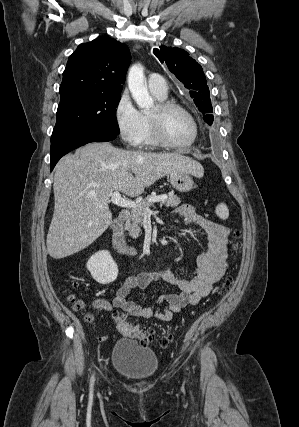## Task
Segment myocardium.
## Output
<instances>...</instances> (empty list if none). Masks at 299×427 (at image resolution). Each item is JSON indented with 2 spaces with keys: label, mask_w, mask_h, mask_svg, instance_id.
<instances>
[{
  "label": "myocardium",
  "mask_w": 299,
  "mask_h": 427,
  "mask_svg": "<svg viewBox=\"0 0 299 427\" xmlns=\"http://www.w3.org/2000/svg\"><path fill=\"white\" fill-rule=\"evenodd\" d=\"M156 111L153 114H148V118H149V122H150V127H151V131H152V135L155 139V141L167 148H172V149H184L187 147L192 146L199 135V126H198V122L196 120V118L194 117V115L183 105L174 102V101H170V100H164V101H159L156 104ZM172 109H176L179 110L181 112H183L184 114H186L189 119L192 122L193 125V135L192 138L189 142L185 143V144H178V143H174L172 141H170L164 131H163V125H162V118L163 115Z\"/></svg>",
  "instance_id": "f54148a6"
}]
</instances>
